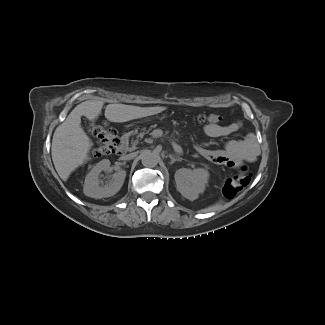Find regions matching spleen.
Here are the masks:
<instances>
[{
  "label": "spleen",
  "mask_w": 325,
  "mask_h": 325,
  "mask_svg": "<svg viewBox=\"0 0 325 325\" xmlns=\"http://www.w3.org/2000/svg\"><path fill=\"white\" fill-rule=\"evenodd\" d=\"M223 205L218 202L215 203L212 206H209L208 208L202 209L201 212H214V211H220L222 209Z\"/></svg>",
  "instance_id": "spleen-1"
}]
</instances>
